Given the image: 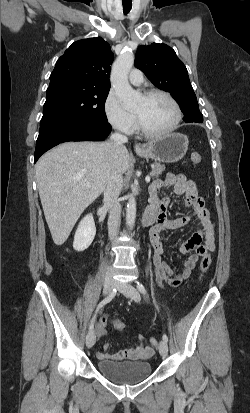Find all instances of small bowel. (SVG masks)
<instances>
[{
  "instance_id": "1",
  "label": "small bowel",
  "mask_w": 250,
  "mask_h": 413,
  "mask_svg": "<svg viewBox=\"0 0 250 413\" xmlns=\"http://www.w3.org/2000/svg\"><path fill=\"white\" fill-rule=\"evenodd\" d=\"M164 186L172 187L177 196H185V205L193 208L191 215L182 216L176 219H168L166 210L170 202V196H159V191ZM150 207L157 212L155 225L150 230V242L153 247V263L156 280L159 286L163 287L168 284L171 287H179L184 281L190 278L192 271L195 269L198 260L206 253L215 249V226L211 220L203 199L199 196L198 188L193 179L182 174L166 175L165 179L155 180L150 187ZM199 222L198 230L185 242H183L179 251L182 254H188L184 261L183 269L180 272H174L164 261L165 249L161 241V235L169 230H175L186 226L192 219ZM202 239L204 243L202 244ZM105 327L98 324L100 335L105 334ZM120 331V330H118ZM105 349H109V344H105ZM154 353V347L145 345L143 337H138V344L132 348L119 350L117 352H98L96 357L100 360H147Z\"/></svg>"
}]
</instances>
